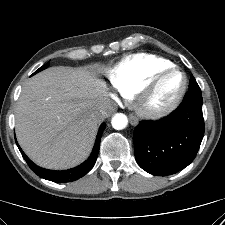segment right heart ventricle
Here are the masks:
<instances>
[{"mask_svg":"<svg viewBox=\"0 0 225 225\" xmlns=\"http://www.w3.org/2000/svg\"><path fill=\"white\" fill-rule=\"evenodd\" d=\"M173 66L170 60L154 54H134L121 61L110 72L109 79L122 97L131 99L154 75Z\"/></svg>","mask_w":225,"mask_h":225,"instance_id":"1","label":"right heart ventricle"}]
</instances>
